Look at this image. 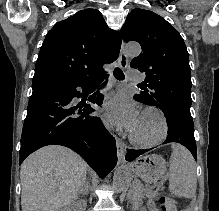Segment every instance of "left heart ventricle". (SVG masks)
<instances>
[{
    "label": "left heart ventricle",
    "mask_w": 219,
    "mask_h": 211,
    "mask_svg": "<svg viewBox=\"0 0 219 211\" xmlns=\"http://www.w3.org/2000/svg\"><path fill=\"white\" fill-rule=\"evenodd\" d=\"M161 128V120L155 113H146L139 117L133 129V133L142 138H152L156 136Z\"/></svg>",
    "instance_id": "obj_1"
}]
</instances>
